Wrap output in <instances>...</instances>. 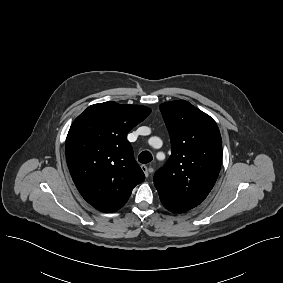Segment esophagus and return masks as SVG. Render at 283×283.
<instances>
[{"label": "esophagus", "mask_w": 283, "mask_h": 283, "mask_svg": "<svg viewBox=\"0 0 283 283\" xmlns=\"http://www.w3.org/2000/svg\"><path fill=\"white\" fill-rule=\"evenodd\" d=\"M141 169L143 170L146 177L149 176L150 169L146 165H141Z\"/></svg>", "instance_id": "esophagus-1"}]
</instances>
